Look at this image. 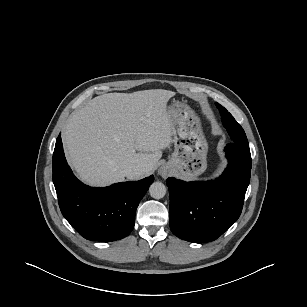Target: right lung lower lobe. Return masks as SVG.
<instances>
[{
  "instance_id": "98d812e1",
  "label": "right lung lower lobe",
  "mask_w": 307,
  "mask_h": 307,
  "mask_svg": "<svg viewBox=\"0 0 307 307\" xmlns=\"http://www.w3.org/2000/svg\"><path fill=\"white\" fill-rule=\"evenodd\" d=\"M53 183L65 219L84 238L110 242L134 228L135 213L154 177L92 188L80 182L66 162L61 137L53 153Z\"/></svg>"
}]
</instances>
